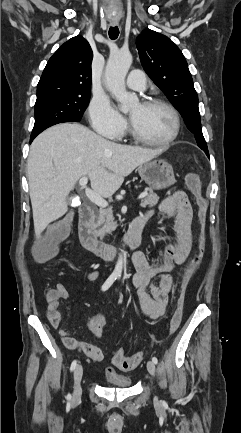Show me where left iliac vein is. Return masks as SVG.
I'll return each instance as SVG.
<instances>
[{
	"instance_id": "obj_1",
	"label": "left iliac vein",
	"mask_w": 241,
	"mask_h": 433,
	"mask_svg": "<svg viewBox=\"0 0 241 433\" xmlns=\"http://www.w3.org/2000/svg\"><path fill=\"white\" fill-rule=\"evenodd\" d=\"M147 370H148V372L151 374V375H154L155 374V364H154V362L153 361H148L147 362Z\"/></svg>"
}]
</instances>
